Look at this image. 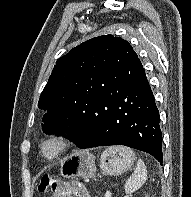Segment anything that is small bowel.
Instances as JSON below:
<instances>
[{"mask_svg": "<svg viewBox=\"0 0 191 197\" xmlns=\"http://www.w3.org/2000/svg\"><path fill=\"white\" fill-rule=\"evenodd\" d=\"M51 197H88V193L82 187L64 184Z\"/></svg>", "mask_w": 191, "mask_h": 197, "instance_id": "small-bowel-1", "label": "small bowel"}]
</instances>
